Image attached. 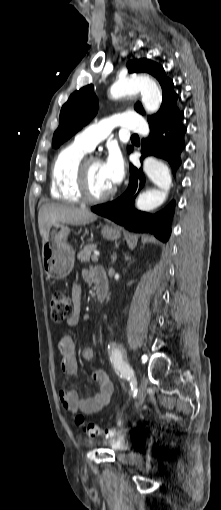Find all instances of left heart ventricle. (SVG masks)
<instances>
[{"label":"left heart ventricle","instance_id":"b2bd125f","mask_svg":"<svg viewBox=\"0 0 221 510\" xmlns=\"http://www.w3.org/2000/svg\"><path fill=\"white\" fill-rule=\"evenodd\" d=\"M88 188L92 196H101L113 189L104 175L100 161H91L88 165Z\"/></svg>","mask_w":221,"mask_h":510}]
</instances>
